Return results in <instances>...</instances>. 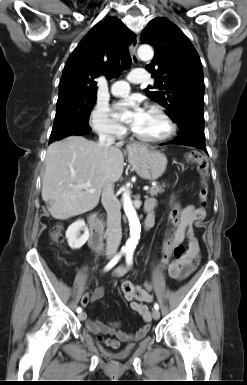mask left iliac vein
<instances>
[{"instance_id":"left-iliac-vein-1","label":"left iliac vein","mask_w":247,"mask_h":385,"mask_svg":"<svg viewBox=\"0 0 247 385\" xmlns=\"http://www.w3.org/2000/svg\"><path fill=\"white\" fill-rule=\"evenodd\" d=\"M153 319L158 320L160 318V312L158 310H153L152 312Z\"/></svg>"}]
</instances>
